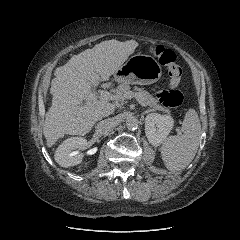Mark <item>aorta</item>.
Masks as SVG:
<instances>
[{"label":"aorta","mask_w":240,"mask_h":240,"mask_svg":"<svg viewBox=\"0 0 240 240\" xmlns=\"http://www.w3.org/2000/svg\"><path fill=\"white\" fill-rule=\"evenodd\" d=\"M125 124L128 130H135L138 127V119L129 114L125 118Z\"/></svg>","instance_id":"obj_1"}]
</instances>
